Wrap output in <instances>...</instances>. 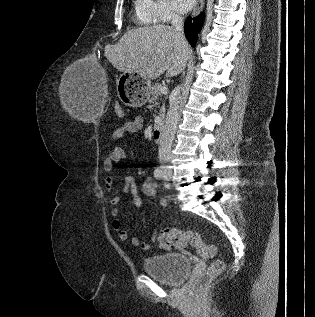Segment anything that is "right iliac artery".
Here are the masks:
<instances>
[{
    "mask_svg": "<svg viewBox=\"0 0 315 317\" xmlns=\"http://www.w3.org/2000/svg\"><path fill=\"white\" fill-rule=\"evenodd\" d=\"M154 177L158 180H160L162 178V173L161 170L159 168H156L154 171Z\"/></svg>",
    "mask_w": 315,
    "mask_h": 317,
    "instance_id": "1",
    "label": "right iliac artery"
}]
</instances>
